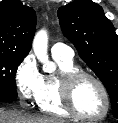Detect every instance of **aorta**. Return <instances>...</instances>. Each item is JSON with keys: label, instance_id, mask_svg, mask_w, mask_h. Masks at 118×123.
Returning a JSON list of instances; mask_svg holds the SVG:
<instances>
[{"label": "aorta", "instance_id": "762f6f07", "mask_svg": "<svg viewBox=\"0 0 118 123\" xmlns=\"http://www.w3.org/2000/svg\"><path fill=\"white\" fill-rule=\"evenodd\" d=\"M32 47L37 59L43 64V70L53 72L55 64L50 62L48 58V34L46 30H40L35 34Z\"/></svg>", "mask_w": 118, "mask_h": 123}]
</instances>
